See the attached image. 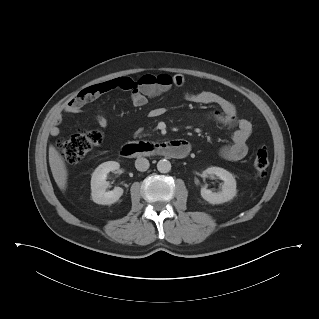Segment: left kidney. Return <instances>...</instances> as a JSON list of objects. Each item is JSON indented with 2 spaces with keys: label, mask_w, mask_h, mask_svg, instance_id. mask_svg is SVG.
I'll return each mask as SVG.
<instances>
[{
  "label": "left kidney",
  "mask_w": 319,
  "mask_h": 319,
  "mask_svg": "<svg viewBox=\"0 0 319 319\" xmlns=\"http://www.w3.org/2000/svg\"><path fill=\"white\" fill-rule=\"evenodd\" d=\"M207 174L216 175L224 181V184L222 185V191L219 193H214L211 190L206 189V187H202L201 196L204 200L211 204H221L230 201L236 196V180L230 172L220 167H210L204 171V176Z\"/></svg>",
  "instance_id": "5707ae66"
}]
</instances>
